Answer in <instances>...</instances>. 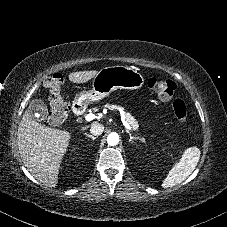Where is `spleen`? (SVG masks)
<instances>
[{
	"label": "spleen",
	"mask_w": 227,
	"mask_h": 227,
	"mask_svg": "<svg viewBox=\"0 0 227 227\" xmlns=\"http://www.w3.org/2000/svg\"><path fill=\"white\" fill-rule=\"evenodd\" d=\"M200 154L201 152L197 147L187 148L181 159L169 171L162 187L169 188L183 182L196 168Z\"/></svg>",
	"instance_id": "1"
}]
</instances>
